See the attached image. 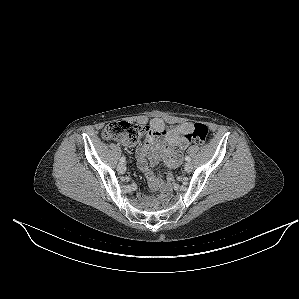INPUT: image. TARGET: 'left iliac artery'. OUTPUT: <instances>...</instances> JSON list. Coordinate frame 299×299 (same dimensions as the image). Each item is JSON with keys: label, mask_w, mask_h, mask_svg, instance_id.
I'll use <instances>...</instances> for the list:
<instances>
[{"label": "left iliac artery", "mask_w": 299, "mask_h": 299, "mask_svg": "<svg viewBox=\"0 0 299 299\" xmlns=\"http://www.w3.org/2000/svg\"><path fill=\"white\" fill-rule=\"evenodd\" d=\"M185 160L188 161V162L191 161V159H190L189 156H186V157H185Z\"/></svg>", "instance_id": "1"}]
</instances>
